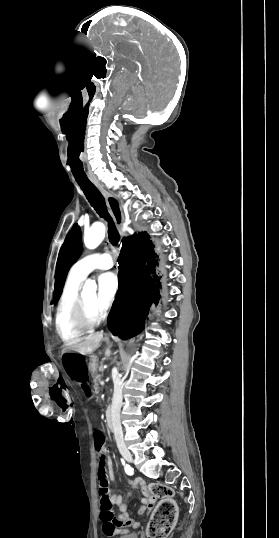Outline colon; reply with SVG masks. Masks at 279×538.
Segmentation results:
<instances>
[{
    "mask_svg": "<svg viewBox=\"0 0 279 538\" xmlns=\"http://www.w3.org/2000/svg\"><path fill=\"white\" fill-rule=\"evenodd\" d=\"M95 450L100 457V465L97 472L101 515L110 518L113 517L112 503L109 497V484L106 478L105 458L108 448L106 439L101 431L94 432ZM150 490L154 496L161 499L153 518L148 526L147 535L149 538H164L170 533L177 518V509L173 497V490L162 484H152Z\"/></svg>",
    "mask_w": 279,
    "mask_h": 538,
    "instance_id": "colon-1",
    "label": "colon"
}]
</instances>
